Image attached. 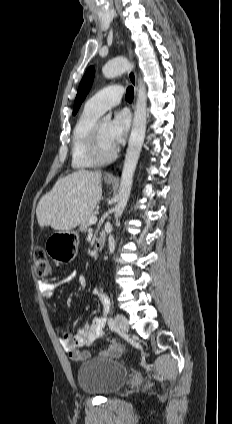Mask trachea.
Returning a JSON list of instances; mask_svg holds the SVG:
<instances>
[{
	"instance_id": "3493384b",
	"label": "trachea",
	"mask_w": 232,
	"mask_h": 424,
	"mask_svg": "<svg viewBox=\"0 0 232 424\" xmlns=\"http://www.w3.org/2000/svg\"><path fill=\"white\" fill-rule=\"evenodd\" d=\"M134 96V89L133 87L129 86L126 90V99L128 101H132Z\"/></svg>"
}]
</instances>
